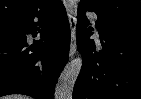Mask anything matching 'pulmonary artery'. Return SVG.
Here are the masks:
<instances>
[{
    "instance_id": "pulmonary-artery-1",
    "label": "pulmonary artery",
    "mask_w": 141,
    "mask_h": 99,
    "mask_svg": "<svg viewBox=\"0 0 141 99\" xmlns=\"http://www.w3.org/2000/svg\"><path fill=\"white\" fill-rule=\"evenodd\" d=\"M90 17H91L92 19H94V16H93V15H90Z\"/></svg>"
}]
</instances>
